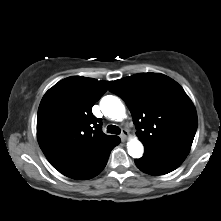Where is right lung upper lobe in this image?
Wrapping results in <instances>:
<instances>
[{
  "label": "right lung upper lobe",
  "instance_id": "right-lung-upper-lobe-1",
  "mask_svg": "<svg viewBox=\"0 0 221 221\" xmlns=\"http://www.w3.org/2000/svg\"><path fill=\"white\" fill-rule=\"evenodd\" d=\"M111 81L72 76L43 96L38 109L37 138L49 162L59 172L90 161L119 137L102 132L93 105Z\"/></svg>",
  "mask_w": 221,
  "mask_h": 221
}]
</instances>
